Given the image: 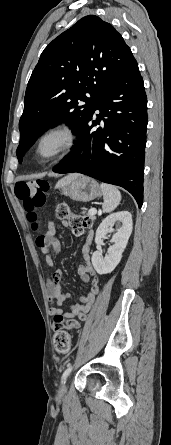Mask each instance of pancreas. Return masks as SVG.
Here are the masks:
<instances>
[{"instance_id":"obj_1","label":"pancreas","mask_w":171,"mask_h":445,"mask_svg":"<svg viewBox=\"0 0 171 445\" xmlns=\"http://www.w3.org/2000/svg\"><path fill=\"white\" fill-rule=\"evenodd\" d=\"M85 213V212H84ZM87 215H88V217L91 219V220H94L95 219V215H92V214H90L89 212L87 213Z\"/></svg>"}]
</instances>
